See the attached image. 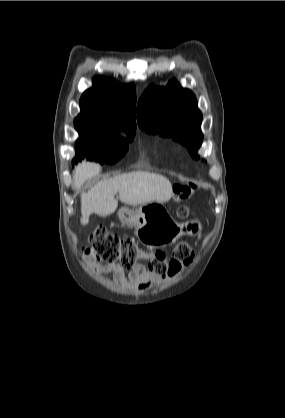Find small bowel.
Masks as SVG:
<instances>
[{
  "label": "small bowel",
  "mask_w": 285,
  "mask_h": 418,
  "mask_svg": "<svg viewBox=\"0 0 285 418\" xmlns=\"http://www.w3.org/2000/svg\"><path fill=\"white\" fill-rule=\"evenodd\" d=\"M89 268L95 274H112L114 282L126 281L130 286L147 289L151 283H160L162 278L151 273L143 264L135 265L128 273L120 263L100 264L95 261L89 263Z\"/></svg>",
  "instance_id": "1"
}]
</instances>
